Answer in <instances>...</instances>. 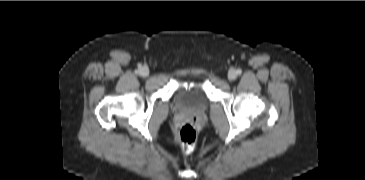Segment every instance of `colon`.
I'll use <instances>...</instances> for the list:
<instances>
[{
	"label": "colon",
	"mask_w": 365,
	"mask_h": 180,
	"mask_svg": "<svg viewBox=\"0 0 365 180\" xmlns=\"http://www.w3.org/2000/svg\"><path fill=\"white\" fill-rule=\"evenodd\" d=\"M177 141L184 150H193L197 141V133L191 123H185L180 127L177 133Z\"/></svg>",
	"instance_id": "obj_1"
}]
</instances>
